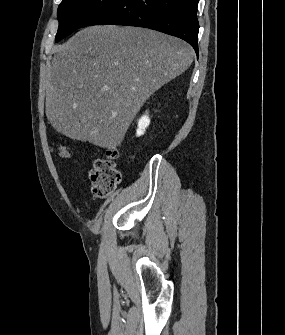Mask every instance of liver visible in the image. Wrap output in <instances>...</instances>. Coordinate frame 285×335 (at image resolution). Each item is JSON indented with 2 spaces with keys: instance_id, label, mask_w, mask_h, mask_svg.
<instances>
[{
  "instance_id": "obj_1",
  "label": "liver",
  "mask_w": 285,
  "mask_h": 335,
  "mask_svg": "<svg viewBox=\"0 0 285 335\" xmlns=\"http://www.w3.org/2000/svg\"><path fill=\"white\" fill-rule=\"evenodd\" d=\"M46 116L63 136L120 146L146 100L193 62L186 42L146 28L91 26L55 46Z\"/></svg>"
}]
</instances>
